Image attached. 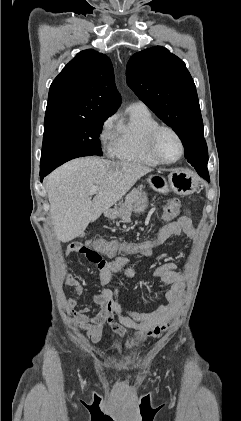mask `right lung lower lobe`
<instances>
[{"label": "right lung lower lobe", "instance_id": "98d812e1", "mask_svg": "<svg viewBox=\"0 0 241 421\" xmlns=\"http://www.w3.org/2000/svg\"><path fill=\"white\" fill-rule=\"evenodd\" d=\"M55 168L51 167V168H41L40 169V177H41V181L43 180V178L50 173L52 170H54Z\"/></svg>", "mask_w": 241, "mask_h": 421}]
</instances>
